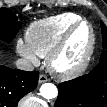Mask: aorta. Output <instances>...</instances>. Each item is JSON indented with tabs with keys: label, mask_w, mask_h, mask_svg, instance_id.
<instances>
[{
	"label": "aorta",
	"mask_w": 107,
	"mask_h": 107,
	"mask_svg": "<svg viewBox=\"0 0 107 107\" xmlns=\"http://www.w3.org/2000/svg\"><path fill=\"white\" fill-rule=\"evenodd\" d=\"M40 94L45 99H54L58 95V90L54 84L45 83L40 88Z\"/></svg>",
	"instance_id": "aorta-1"
}]
</instances>
